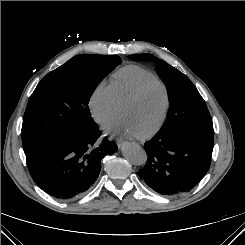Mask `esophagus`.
<instances>
[{
  "label": "esophagus",
  "instance_id": "1",
  "mask_svg": "<svg viewBox=\"0 0 245 245\" xmlns=\"http://www.w3.org/2000/svg\"><path fill=\"white\" fill-rule=\"evenodd\" d=\"M116 143H117L118 147H121L125 143V141L123 139H117Z\"/></svg>",
  "mask_w": 245,
  "mask_h": 245
}]
</instances>
